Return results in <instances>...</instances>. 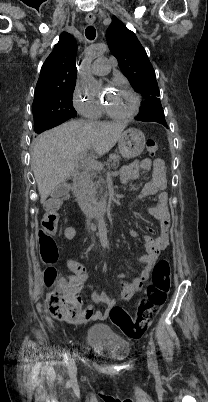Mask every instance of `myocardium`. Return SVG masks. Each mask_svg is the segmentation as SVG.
Masks as SVG:
<instances>
[{"label": "myocardium", "instance_id": "f54148a6", "mask_svg": "<svg viewBox=\"0 0 208 402\" xmlns=\"http://www.w3.org/2000/svg\"><path fill=\"white\" fill-rule=\"evenodd\" d=\"M121 90L131 94L135 100V106L131 112L125 113V114L118 113L112 109V107L109 105V103L105 100L104 97L99 96L100 102L102 104L103 109L112 117L119 119V120L131 119L134 116H136L140 111L141 104H142L141 97L139 96V94L137 92H135L134 90H132L131 88H128L126 86H122Z\"/></svg>", "mask_w": 208, "mask_h": 402}]
</instances>
